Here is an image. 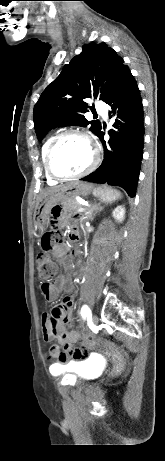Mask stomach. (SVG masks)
<instances>
[{"instance_id":"0dacf381","label":"stomach","mask_w":165,"mask_h":461,"mask_svg":"<svg viewBox=\"0 0 165 461\" xmlns=\"http://www.w3.org/2000/svg\"><path fill=\"white\" fill-rule=\"evenodd\" d=\"M93 190V186L84 182H72L58 192L48 194L42 198L37 212L36 225L39 229H44L49 221V214L52 204H60L70 196H86Z\"/></svg>"}]
</instances>
